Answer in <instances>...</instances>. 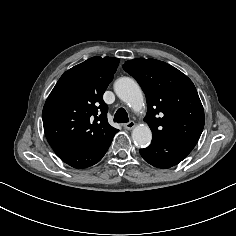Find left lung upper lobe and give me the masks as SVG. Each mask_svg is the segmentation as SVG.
Here are the masks:
<instances>
[{"mask_svg": "<svg viewBox=\"0 0 236 236\" xmlns=\"http://www.w3.org/2000/svg\"><path fill=\"white\" fill-rule=\"evenodd\" d=\"M123 69L145 93V121L152 140L198 141L205 122L204 110L194 84L185 74L165 62L144 58L125 62Z\"/></svg>", "mask_w": 236, "mask_h": 236, "instance_id": "1", "label": "left lung upper lobe"}]
</instances>
